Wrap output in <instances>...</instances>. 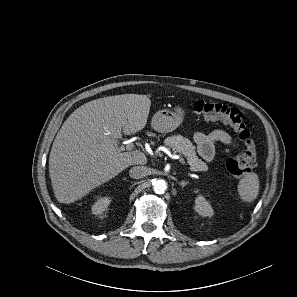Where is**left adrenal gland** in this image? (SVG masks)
<instances>
[{
  "mask_svg": "<svg viewBox=\"0 0 297 297\" xmlns=\"http://www.w3.org/2000/svg\"><path fill=\"white\" fill-rule=\"evenodd\" d=\"M188 184V181H181L179 182V185L182 187H185Z\"/></svg>",
  "mask_w": 297,
  "mask_h": 297,
  "instance_id": "1",
  "label": "left adrenal gland"
}]
</instances>
